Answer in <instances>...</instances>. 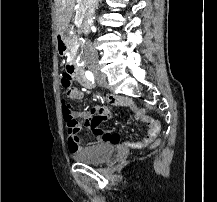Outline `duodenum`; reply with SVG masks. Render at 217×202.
Instances as JSON below:
<instances>
[{
  "mask_svg": "<svg viewBox=\"0 0 217 202\" xmlns=\"http://www.w3.org/2000/svg\"><path fill=\"white\" fill-rule=\"evenodd\" d=\"M58 51L62 57L67 56L68 54V46L62 35L58 36ZM66 70L77 82H79L84 87L91 88L93 86L86 77L83 68L77 67L73 64H68L66 66Z\"/></svg>",
  "mask_w": 217,
  "mask_h": 202,
  "instance_id": "410a0bca",
  "label": "duodenum"
}]
</instances>
